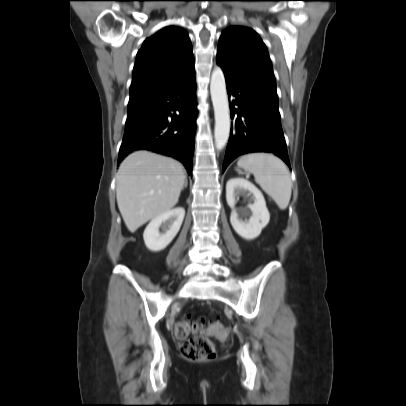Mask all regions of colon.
I'll use <instances>...</instances> for the list:
<instances>
[{"label": "colon", "instance_id": "colon-1", "mask_svg": "<svg viewBox=\"0 0 406 406\" xmlns=\"http://www.w3.org/2000/svg\"><path fill=\"white\" fill-rule=\"evenodd\" d=\"M190 334L194 336L189 337ZM207 334H213L221 341L227 338V332L219 322H212L206 318H187L176 324L175 335L182 340L181 352L185 359L209 361L216 357L215 346Z\"/></svg>", "mask_w": 406, "mask_h": 406}]
</instances>
